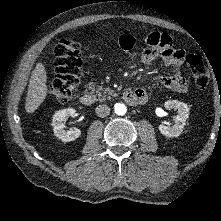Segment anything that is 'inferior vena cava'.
Here are the masks:
<instances>
[{
  "instance_id": "1",
  "label": "inferior vena cava",
  "mask_w": 221,
  "mask_h": 221,
  "mask_svg": "<svg viewBox=\"0 0 221 221\" xmlns=\"http://www.w3.org/2000/svg\"><path fill=\"white\" fill-rule=\"evenodd\" d=\"M109 113L110 107H108L107 105H99L96 107V114L101 118L108 116Z\"/></svg>"
}]
</instances>
